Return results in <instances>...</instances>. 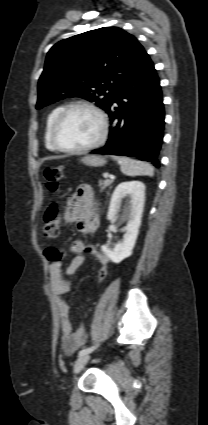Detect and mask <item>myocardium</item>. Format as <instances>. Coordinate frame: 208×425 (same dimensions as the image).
<instances>
[{
	"label": "myocardium",
	"mask_w": 208,
	"mask_h": 425,
	"mask_svg": "<svg viewBox=\"0 0 208 425\" xmlns=\"http://www.w3.org/2000/svg\"><path fill=\"white\" fill-rule=\"evenodd\" d=\"M75 109H85L88 110L92 113H94L99 122H100V132L99 135L97 137V139L84 146V147H80V148H65L63 146H61L57 140V130L61 124V122L63 121V119L65 118V116L71 112L72 110ZM108 118L106 116V114L103 112L102 109H100L98 106L89 103V102H85V101H79V102H73L70 103L68 105H66L65 107H63L60 112L57 114L56 118L54 119L52 126H51V132H50V139H51V143L53 145V147L63 153H68V154H81V153H86L90 150H93L97 147H99L100 145L103 144V142L105 141L107 134H108Z\"/></svg>",
	"instance_id": "f54148a6"
}]
</instances>
